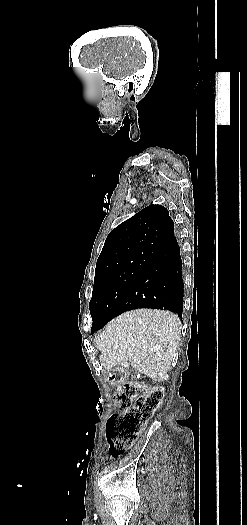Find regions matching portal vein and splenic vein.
Wrapping results in <instances>:
<instances>
[{
  "label": "portal vein and splenic vein",
  "mask_w": 247,
  "mask_h": 525,
  "mask_svg": "<svg viewBox=\"0 0 247 525\" xmlns=\"http://www.w3.org/2000/svg\"><path fill=\"white\" fill-rule=\"evenodd\" d=\"M131 346H135V343H131Z\"/></svg>",
  "instance_id": "obj_1"
}]
</instances>
